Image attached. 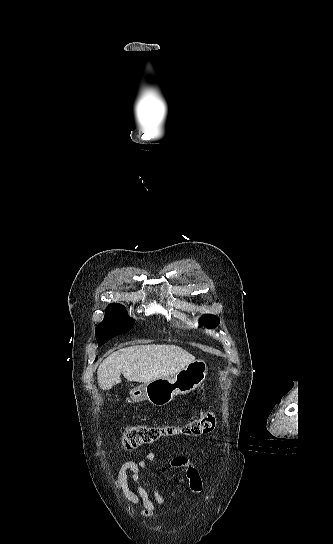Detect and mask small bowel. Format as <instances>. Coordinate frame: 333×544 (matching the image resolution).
Masks as SVG:
<instances>
[{
    "mask_svg": "<svg viewBox=\"0 0 333 544\" xmlns=\"http://www.w3.org/2000/svg\"><path fill=\"white\" fill-rule=\"evenodd\" d=\"M148 468H152L159 473H165L169 469L180 470L179 482L181 484H187L189 490L193 493H198L202 489V479L199 471L186 457L178 456L166 464H159L156 461V456L149 452L139 461H126L118 471L114 487L121 490L131 503L142 505L143 511L141 514L144 517H151L156 510V505H162L165 502L164 497L154 485H151L150 490H148L141 484L142 474ZM130 480L135 484V489L130 487Z\"/></svg>",
    "mask_w": 333,
    "mask_h": 544,
    "instance_id": "c3829d8e",
    "label": "small bowel"
}]
</instances>
